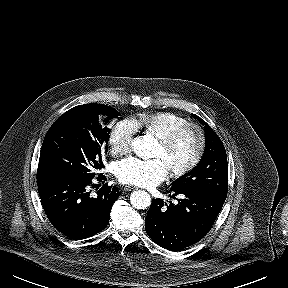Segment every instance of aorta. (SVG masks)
I'll use <instances>...</instances> for the list:
<instances>
[{"instance_id":"762f6f07","label":"aorta","mask_w":288,"mask_h":288,"mask_svg":"<svg viewBox=\"0 0 288 288\" xmlns=\"http://www.w3.org/2000/svg\"><path fill=\"white\" fill-rule=\"evenodd\" d=\"M156 146V139L150 135L139 136L132 141L133 151L142 159L153 157ZM130 203L136 209H146L151 204V197L147 192L137 190L131 193Z\"/></svg>"}]
</instances>
